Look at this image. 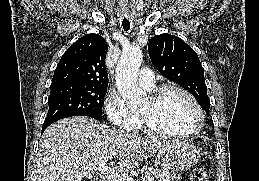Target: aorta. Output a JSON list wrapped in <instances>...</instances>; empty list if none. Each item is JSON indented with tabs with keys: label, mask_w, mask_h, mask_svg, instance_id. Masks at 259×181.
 <instances>
[{
	"label": "aorta",
	"mask_w": 259,
	"mask_h": 181,
	"mask_svg": "<svg viewBox=\"0 0 259 181\" xmlns=\"http://www.w3.org/2000/svg\"><path fill=\"white\" fill-rule=\"evenodd\" d=\"M143 60L139 47L124 49L116 67V86L127 107L135 109L145 102L147 95L138 86V69Z\"/></svg>",
	"instance_id": "aorta-1"
}]
</instances>
